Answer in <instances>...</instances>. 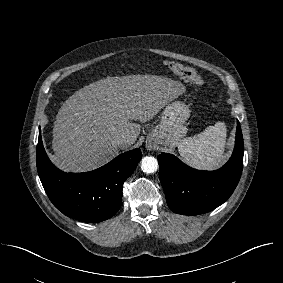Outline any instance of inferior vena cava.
<instances>
[{
  "label": "inferior vena cava",
  "instance_id": "inferior-vena-cava-1",
  "mask_svg": "<svg viewBox=\"0 0 283 283\" xmlns=\"http://www.w3.org/2000/svg\"><path fill=\"white\" fill-rule=\"evenodd\" d=\"M127 137L125 135H121L115 139V142L119 145L126 143Z\"/></svg>",
  "mask_w": 283,
  "mask_h": 283
}]
</instances>
